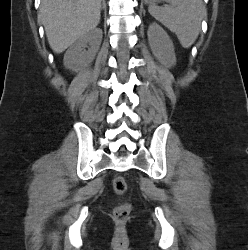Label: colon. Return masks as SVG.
<instances>
[{"instance_id":"5ec220e1","label":"colon","mask_w":248,"mask_h":250,"mask_svg":"<svg viewBox=\"0 0 248 250\" xmlns=\"http://www.w3.org/2000/svg\"><path fill=\"white\" fill-rule=\"evenodd\" d=\"M112 187L117 195H124L127 190V181L123 176H116L112 180ZM130 212V206L128 204H122L114 210V218L118 222L124 221Z\"/></svg>"}]
</instances>
